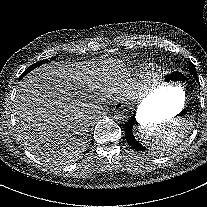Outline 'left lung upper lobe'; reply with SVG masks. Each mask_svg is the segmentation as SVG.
<instances>
[{
	"label": "left lung upper lobe",
	"mask_w": 207,
	"mask_h": 207,
	"mask_svg": "<svg viewBox=\"0 0 207 207\" xmlns=\"http://www.w3.org/2000/svg\"><path fill=\"white\" fill-rule=\"evenodd\" d=\"M195 70H196V69H195L194 64L190 62V72H193V71H195Z\"/></svg>",
	"instance_id": "obj_1"
}]
</instances>
